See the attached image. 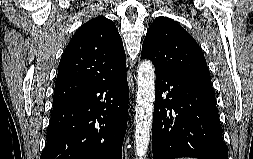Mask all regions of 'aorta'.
Wrapping results in <instances>:
<instances>
[{"mask_svg":"<svg viewBox=\"0 0 253 159\" xmlns=\"http://www.w3.org/2000/svg\"><path fill=\"white\" fill-rule=\"evenodd\" d=\"M138 91L135 107V152L139 159L146 156L150 142L155 100V70L151 61H143L137 73Z\"/></svg>","mask_w":253,"mask_h":159,"instance_id":"aorta-1","label":"aorta"}]
</instances>
